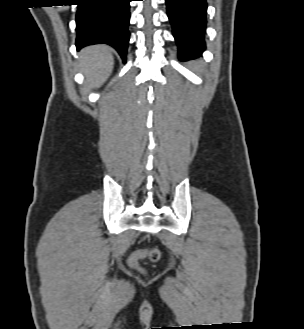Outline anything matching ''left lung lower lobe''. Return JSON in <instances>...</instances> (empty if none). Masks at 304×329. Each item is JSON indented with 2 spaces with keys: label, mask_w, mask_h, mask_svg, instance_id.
Returning a JSON list of instances; mask_svg holds the SVG:
<instances>
[{
  "label": "left lung lower lobe",
  "mask_w": 304,
  "mask_h": 329,
  "mask_svg": "<svg viewBox=\"0 0 304 329\" xmlns=\"http://www.w3.org/2000/svg\"><path fill=\"white\" fill-rule=\"evenodd\" d=\"M180 59L199 56L205 50L206 0H166Z\"/></svg>",
  "instance_id": "0a47b994"
}]
</instances>
